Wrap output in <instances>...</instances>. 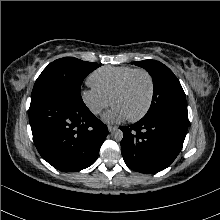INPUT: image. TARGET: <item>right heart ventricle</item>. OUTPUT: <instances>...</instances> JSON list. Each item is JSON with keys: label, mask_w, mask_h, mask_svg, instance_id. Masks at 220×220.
<instances>
[{"label": "right heart ventricle", "mask_w": 220, "mask_h": 220, "mask_svg": "<svg viewBox=\"0 0 220 220\" xmlns=\"http://www.w3.org/2000/svg\"><path fill=\"white\" fill-rule=\"evenodd\" d=\"M130 66H106L95 70L88 78L89 84L111 98L121 81L134 70Z\"/></svg>", "instance_id": "e07e8e85"}]
</instances>
